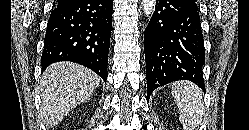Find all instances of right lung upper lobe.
<instances>
[{
	"label": "right lung upper lobe",
	"instance_id": "1",
	"mask_svg": "<svg viewBox=\"0 0 249 130\" xmlns=\"http://www.w3.org/2000/svg\"><path fill=\"white\" fill-rule=\"evenodd\" d=\"M68 0H58L57 1V6L58 5H61V4H63V3H65V2H67Z\"/></svg>",
	"mask_w": 249,
	"mask_h": 130
}]
</instances>
